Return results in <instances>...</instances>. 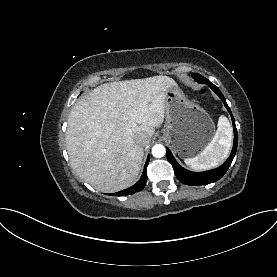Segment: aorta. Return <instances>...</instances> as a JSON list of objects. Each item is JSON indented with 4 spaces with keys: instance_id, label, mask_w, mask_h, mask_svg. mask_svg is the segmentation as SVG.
Returning a JSON list of instances; mask_svg holds the SVG:
<instances>
[{
    "instance_id": "aorta-1",
    "label": "aorta",
    "mask_w": 277,
    "mask_h": 277,
    "mask_svg": "<svg viewBox=\"0 0 277 277\" xmlns=\"http://www.w3.org/2000/svg\"><path fill=\"white\" fill-rule=\"evenodd\" d=\"M166 149L161 144H156L152 148V155L156 158H161L165 155Z\"/></svg>"
}]
</instances>
